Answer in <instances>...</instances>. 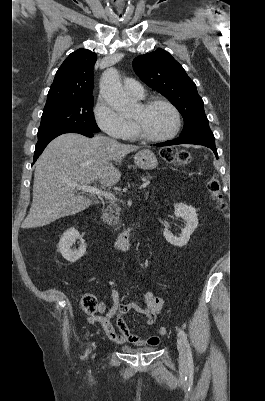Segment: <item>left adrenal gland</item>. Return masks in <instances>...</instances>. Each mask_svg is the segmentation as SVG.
I'll list each match as a JSON object with an SVG mask.
<instances>
[{
  "label": "left adrenal gland",
  "mask_w": 265,
  "mask_h": 401,
  "mask_svg": "<svg viewBox=\"0 0 265 401\" xmlns=\"http://www.w3.org/2000/svg\"><path fill=\"white\" fill-rule=\"evenodd\" d=\"M147 196H148V192H146V198H147Z\"/></svg>",
  "instance_id": "1"
}]
</instances>
